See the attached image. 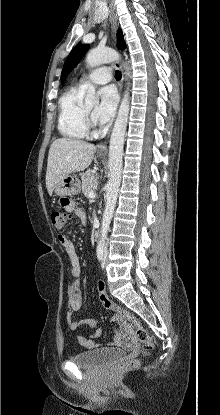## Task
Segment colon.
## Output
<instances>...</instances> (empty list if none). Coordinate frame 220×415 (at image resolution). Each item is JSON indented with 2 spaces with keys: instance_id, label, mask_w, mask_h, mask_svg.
Here are the masks:
<instances>
[{
  "instance_id": "1",
  "label": "colon",
  "mask_w": 220,
  "mask_h": 415,
  "mask_svg": "<svg viewBox=\"0 0 220 415\" xmlns=\"http://www.w3.org/2000/svg\"><path fill=\"white\" fill-rule=\"evenodd\" d=\"M68 220L69 214L65 211L56 210L51 213V221L57 231H62L68 223ZM99 300L105 309L113 312L116 318L123 319L133 326L138 341L144 345L146 350L150 351L154 348L151 336L143 327L140 320L131 311L116 305L105 292L99 293ZM138 364V360L129 359L122 362L119 367L132 369L136 368Z\"/></svg>"
}]
</instances>
